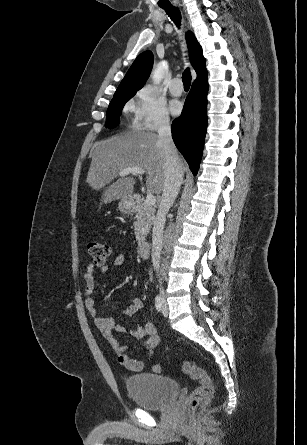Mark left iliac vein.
<instances>
[{
  "label": "left iliac vein",
  "instance_id": "1",
  "mask_svg": "<svg viewBox=\"0 0 307 445\" xmlns=\"http://www.w3.org/2000/svg\"><path fill=\"white\" fill-rule=\"evenodd\" d=\"M162 314H163L164 316H167V315H168V305H167V302L165 301L164 298H163Z\"/></svg>",
  "mask_w": 307,
  "mask_h": 445
}]
</instances>
